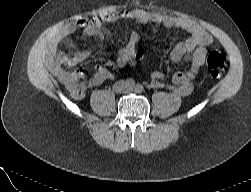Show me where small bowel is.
I'll use <instances>...</instances> for the list:
<instances>
[{
	"label": "small bowel",
	"instance_id": "obj_1",
	"mask_svg": "<svg viewBox=\"0 0 251 192\" xmlns=\"http://www.w3.org/2000/svg\"><path fill=\"white\" fill-rule=\"evenodd\" d=\"M119 20H132L142 24L176 28L190 34V37L185 41L176 43L170 53V58L175 63L180 62L189 54L187 57L191 64L189 70L186 72H174L171 75V81L175 85L173 92L179 96L188 95L193 89V82L200 67L205 62L207 54L206 48L212 42L211 36L199 24L190 19L161 16L136 9L120 13L105 11L90 20L66 24L50 37L47 45V54L52 60V67L55 73L65 84L71 96L74 99L83 98L88 88L98 86L104 81L111 79L112 73L106 68L98 67L87 81H81V71L69 72L65 67L80 64L89 57L90 53L88 51H78L71 56H65L58 51L59 45L65 43L77 28H83L86 35L101 39L103 37L102 25L114 23ZM138 41V37H133L131 41L118 52L116 63L119 67L136 65L138 60ZM163 79L164 74L162 72L154 71L151 74V86L154 88L164 87Z\"/></svg>",
	"mask_w": 251,
	"mask_h": 192
}]
</instances>
